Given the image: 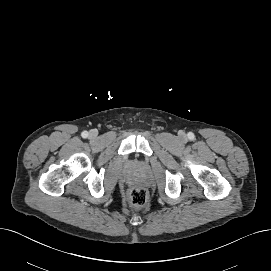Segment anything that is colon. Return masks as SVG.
I'll list each match as a JSON object with an SVG mask.
<instances>
[{
	"label": "colon",
	"mask_w": 271,
	"mask_h": 271,
	"mask_svg": "<svg viewBox=\"0 0 271 271\" xmlns=\"http://www.w3.org/2000/svg\"><path fill=\"white\" fill-rule=\"evenodd\" d=\"M148 201V192L143 187H133L130 191V204L133 208H143Z\"/></svg>",
	"instance_id": "5ec220e1"
}]
</instances>
